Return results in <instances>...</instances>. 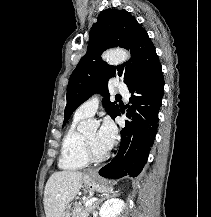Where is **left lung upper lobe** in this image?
Instances as JSON below:
<instances>
[{
	"label": "left lung upper lobe",
	"mask_w": 211,
	"mask_h": 217,
	"mask_svg": "<svg viewBox=\"0 0 211 217\" xmlns=\"http://www.w3.org/2000/svg\"><path fill=\"white\" fill-rule=\"evenodd\" d=\"M113 47L130 50L131 59L119 66L103 62L101 54ZM159 64L146 30L129 12L117 9L102 11L97 23L92 26L87 53L70 76L63 124L78 106L96 92L104 96L106 112L115 119L120 110L115 102H110L109 79L118 75L129 87Z\"/></svg>",
	"instance_id": "left-lung-upper-lobe-1"
}]
</instances>
